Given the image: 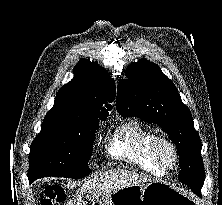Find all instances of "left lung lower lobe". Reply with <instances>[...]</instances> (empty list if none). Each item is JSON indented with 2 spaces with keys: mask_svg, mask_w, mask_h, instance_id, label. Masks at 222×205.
<instances>
[{
  "mask_svg": "<svg viewBox=\"0 0 222 205\" xmlns=\"http://www.w3.org/2000/svg\"><path fill=\"white\" fill-rule=\"evenodd\" d=\"M180 167L182 170H188L190 172H192V169H194L195 166V162L192 161V159H181L180 160ZM186 185H188L193 192H195L197 195H200L201 192V188L196 186V184H194L193 182H189V181H185ZM183 183V182H182Z\"/></svg>",
  "mask_w": 222,
  "mask_h": 205,
  "instance_id": "obj_1",
  "label": "left lung lower lobe"
}]
</instances>
